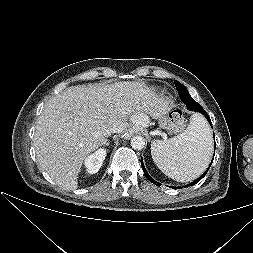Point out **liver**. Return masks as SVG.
Returning <instances> with one entry per match:
<instances>
[{
    "label": "liver",
    "mask_w": 253,
    "mask_h": 253,
    "mask_svg": "<svg viewBox=\"0 0 253 253\" xmlns=\"http://www.w3.org/2000/svg\"><path fill=\"white\" fill-rule=\"evenodd\" d=\"M169 103L141 82L69 87L48 100L37 121V161L57 185L75 190L83 162L102 146L106 130L144 128L147 115L157 119Z\"/></svg>",
    "instance_id": "liver-1"
}]
</instances>
